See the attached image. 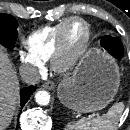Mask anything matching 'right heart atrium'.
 I'll list each match as a JSON object with an SVG mask.
<instances>
[{
  "label": "right heart atrium",
  "instance_id": "d8ad5b80",
  "mask_svg": "<svg viewBox=\"0 0 130 130\" xmlns=\"http://www.w3.org/2000/svg\"><path fill=\"white\" fill-rule=\"evenodd\" d=\"M18 59H19V62L24 66L32 67L39 73L43 71V68H44L43 63L35 59L34 57H32L27 52L20 51L18 53Z\"/></svg>",
  "mask_w": 130,
  "mask_h": 130
}]
</instances>
